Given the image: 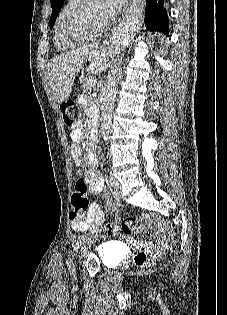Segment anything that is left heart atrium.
Segmentation results:
<instances>
[{
  "label": "left heart atrium",
  "instance_id": "39dd6f15",
  "mask_svg": "<svg viewBox=\"0 0 227 315\" xmlns=\"http://www.w3.org/2000/svg\"><path fill=\"white\" fill-rule=\"evenodd\" d=\"M101 15L105 24L112 22L122 10L126 0H98Z\"/></svg>",
  "mask_w": 227,
  "mask_h": 315
}]
</instances>
